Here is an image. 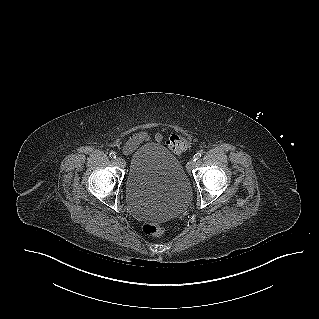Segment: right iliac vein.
Returning <instances> with one entry per match:
<instances>
[{"label":"right iliac vein","mask_w":319,"mask_h":319,"mask_svg":"<svg viewBox=\"0 0 319 319\" xmlns=\"http://www.w3.org/2000/svg\"><path fill=\"white\" fill-rule=\"evenodd\" d=\"M115 161L122 168H124L126 166V162H125V160L122 157H117L115 159Z\"/></svg>","instance_id":"right-iliac-vein-1"}]
</instances>
